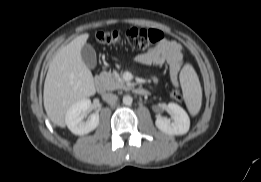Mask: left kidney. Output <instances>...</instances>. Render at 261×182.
<instances>
[{"mask_svg": "<svg viewBox=\"0 0 261 182\" xmlns=\"http://www.w3.org/2000/svg\"><path fill=\"white\" fill-rule=\"evenodd\" d=\"M166 109L173 114L172 120L158 115L155 121L156 127L169 135L186 134L190 127V119L186 111L176 103H169Z\"/></svg>", "mask_w": 261, "mask_h": 182, "instance_id": "5707ae66", "label": "left kidney"}]
</instances>
